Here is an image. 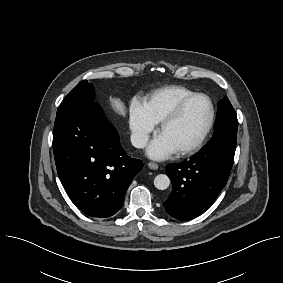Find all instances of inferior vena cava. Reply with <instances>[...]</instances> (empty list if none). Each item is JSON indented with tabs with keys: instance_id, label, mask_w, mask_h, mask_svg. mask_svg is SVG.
<instances>
[{
	"instance_id": "inferior-vena-cava-1",
	"label": "inferior vena cava",
	"mask_w": 283,
	"mask_h": 283,
	"mask_svg": "<svg viewBox=\"0 0 283 283\" xmlns=\"http://www.w3.org/2000/svg\"><path fill=\"white\" fill-rule=\"evenodd\" d=\"M148 137L144 134L134 133L131 135V143L136 148H144L147 145Z\"/></svg>"
}]
</instances>
